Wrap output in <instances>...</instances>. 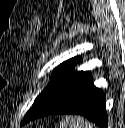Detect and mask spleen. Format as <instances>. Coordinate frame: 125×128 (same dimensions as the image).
Segmentation results:
<instances>
[{
  "mask_svg": "<svg viewBox=\"0 0 125 128\" xmlns=\"http://www.w3.org/2000/svg\"><path fill=\"white\" fill-rule=\"evenodd\" d=\"M60 128H96L83 117L70 115L62 119Z\"/></svg>",
  "mask_w": 125,
  "mask_h": 128,
  "instance_id": "1",
  "label": "spleen"
}]
</instances>
